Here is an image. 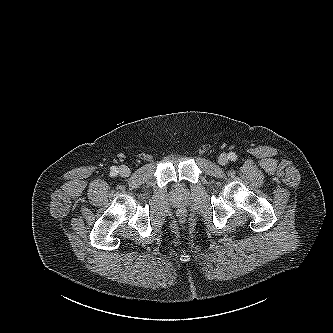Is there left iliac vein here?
<instances>
[{
    "mask_svg": "<svg viewBox=\"0 0 333 333\" xmlns=\"http://www.w3.org/2000/svg\"><path fill=\"white\" fill-rule=\"evenodd\" d=\"M229 161V157L227 154L223 153L219 156L218 162L220 165H226Z\"/></svg>",
    "mask_w": 333,
    "mask_h": 333,
    "instance_id": "1",
    "label": "left iliac vein"
}]
</instances>
